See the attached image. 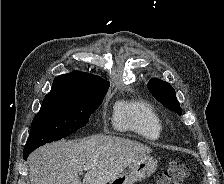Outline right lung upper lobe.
Listing matches in <instances>:
<instances>
[{
    "instance_id": "cb5924a9",
    "label": "right lung upper lobe",
    "mask_w": 224,
    "mask_h": 184,
    "mask_svg": "<svg viewBox=\"0 0 224 184\" xmlns=\"http://www.w3.org/2000/svg\"><path fill=\"white\" fill-rule=\"evenodd\" d=\"M110 83L85 72L73 71L56 77L46 98H76L88 96L109 88Z\"/></svg>"
}]
</instances>
